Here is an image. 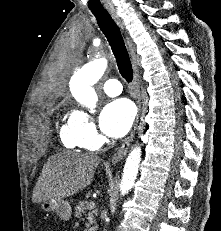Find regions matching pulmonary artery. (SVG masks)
Segmentation results:
<instances>
[{
	"label": "pulmonary artery",
	"instance_id": "1",
	"mask_svg": "<svg viewBox=\"0 0 221 231\" xmlns=\"http://www.w3.org/2000/svg\"><path fill=\"white\" fill-rule=\"evenodd\" d=\"M103 90L108 96L114 97L121 94L122 86L118 80L110 79L104 82Z\"/></svg>",
	"mask_w": 221,
	"mask_h": 231
}]
</instances>
